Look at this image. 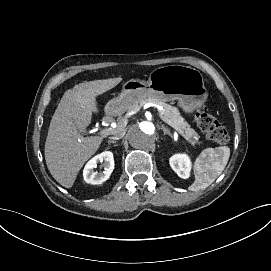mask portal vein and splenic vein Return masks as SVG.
<instances>
[{
  "label": "portal vein and splenic vein",
  "instance_id": "18ae733b",
  "mask_svg": "<svg viewBox=\"0 0 271 271\" xmlns=\"http://www.w3.org/2000/svg\"><path fill=\"white\" fill-rule=\"evenodd\" d=\"M156 115L159 116L161 120L165 121V123H167L169 125V127L175 129V131H177L181 137L185 135L184 132L178 126L174 127L175 125L173 122H171L170 120H168L164 116L160 115L159 113H157ZM110 131H111V128L103 129L101 131V135H107ZM184 137L187 142H189L190 144L193 143L191 140L188 139V137L186 135Z\"/></svg>",
  "mask_w": 271,
  "mask_h": 271
}]
</instances>
